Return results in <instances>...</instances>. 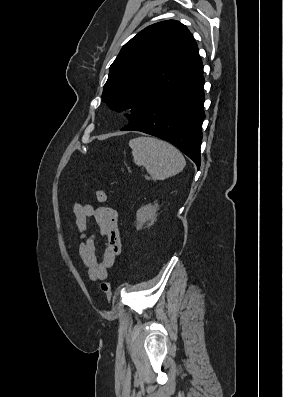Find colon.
Returning a JSON list of instances; mask_svg holds the SVG:
<instances>
[{"instance_id": "obj_1", "label": "colon", "mask_w": 283, "mask_h": 397, "mask_svg": "<svg viewBox=\"0 0 283 397\" xmlns=\"http://www.w3.org/2000/svg\"><path fill=\"white\" fill-rule=\"evenodd\" d=\"M95 196L97 201L100 203H104L107 200L106 192L101 188L96 189ZM100 288L102 292L106 295L107 299L111 300L113 296L111 285L108 282L104 281L100 284Z\"/></svg>"}]
</instances>
